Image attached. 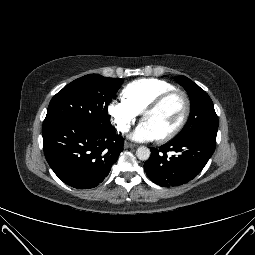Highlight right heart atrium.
I'll return each instance as SVG.
<instances>
[{"instance_id":"obj_1","label":"right heart atrium","mask_w":255,"mask_h":255,"mask_svg":"<svg viewBox=\"0 0 255 255\" xmlns=\"http://www.w3.org/2000/svg\"><path fill=\"white\" fill-rule=\"evenodd\" d=\"M107 111L111 122L120 133L128 132L138 118V114L125 101L112 100Z\"/></svg>"}]
</instances>
